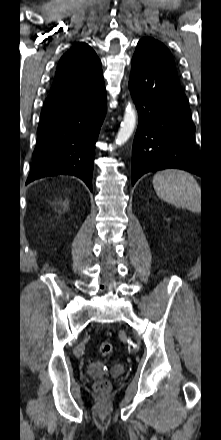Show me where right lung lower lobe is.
I'll use <instances>...</instances> for the list:
<instances>
[{
	"mask_svg": "<svg viewBox=\"0 0 221 440\" xmlns=\"http://www.w3.org/2000/svg\"><path fill=\"white\" fill-rule=\"evenodd\" d=\"M106 107L104 82L51 92L45 100L27 184L53 175H74L92 191L95 143Z\"/></svg>",
	"mask_w": 221,
	"mask_h": 440,
	"instance_id": "1",
	"label": "right lung lower lobe"
}]
</instances>
